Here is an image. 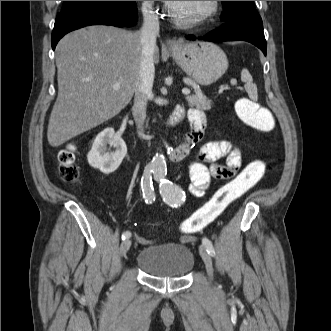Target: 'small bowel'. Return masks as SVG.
<instances>
[{
	"instance_id": "small-bowel-1",
	"label": "small bowel",
	"mask_w": 331,
	"mask_h": 331,
	"mask_svg": "<svg viewBox=\"0 0 331 331\" xmlns=\"http://www.w3.org/2000/svg\"><path fill=\"white\" fill-rule=\"evenodd\" d=\"M187 115L190 130L184 135L182 143L170 151L169 158L173 162L185 160L191 147L199 143L205 134L206 117L204 112L199 109H190ZM221 159H225L224 164L219 163ZM241 166V152L230 142L211 141L205 143L189 165L190 193L196 197L202 196L211 179L230 180L241 171ZM137 239L146 242L140 237Z\"/></svg>"
}]
</instances>
